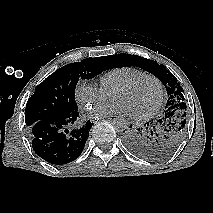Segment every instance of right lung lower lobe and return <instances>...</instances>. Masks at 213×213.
Instances as JSON below:
<instances>
[{
  "label": "right lung lower lobe",
  "instance_id": "98d812e1",
  "mask_svg": "<svg viewBox=\"0 0 213 213\" xmlns=\"http://www.w3.org/2000/svg\"><path fill=\"white\" fill-rule=\"evenodd\" d=\"M92 125H79L78 111L38 121L30 128L33 149L51 164L70 163L82 153Z\"/></svg>",
  "mask_w": 213,
  "mask_h": 213
}]
</instances>
